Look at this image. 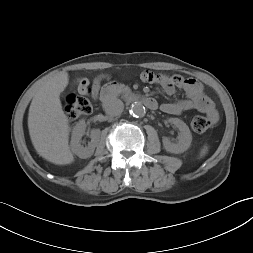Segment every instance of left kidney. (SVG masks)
<instances>
[{
  "label": "left kidney",
  "mask_w": 253,
  "mask_h": 253,
  "mask_svg": "<svg viewBox=\"0 0 253 253\" xmlns=\"http://www.w3.org/2000/svg\"><path fill=\"white\" fill-rule=\"evenodd\" d=\"M170 124L175 125L180 130V135L178 137L177 143H171L167 138L163 139V146L167 152L170 153H183L186 151L192 142V135L189 127L179 118H170L168 120Z\"/></svg>",
  "instance_id": "1"
}]
</instances>
